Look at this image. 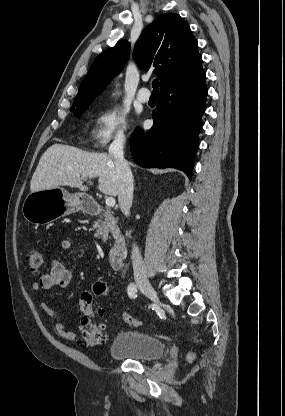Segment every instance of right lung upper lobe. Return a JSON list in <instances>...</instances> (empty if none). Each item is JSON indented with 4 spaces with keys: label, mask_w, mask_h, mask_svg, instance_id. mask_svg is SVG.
I'll return each instance as SVG.
<instances>
[{
    "label": "right lung upper lobe",
    "mask_w": 285,
    "mask_h": 416,
    "mask_svg": "<svg viewBox=\"0 0 285 416\" xmlns=\"http://www.w3.org/2000/svg\"><path fill=\"white\" fill-rule=\"evenodd\" d=\"M129 51L128 41L120 40L101 53L82 81L71 109L89 105L120 73ZM133 57L141 69L154 68L153 73L160 78V91L204 72L197 40L178 14L160 15L149 24L135 44Z\"/></svg>",
    "instance_id": "right-lung-upper-lobe-1"
}]
</instances>
